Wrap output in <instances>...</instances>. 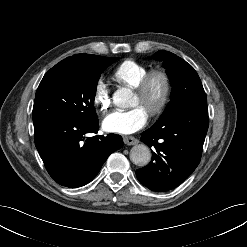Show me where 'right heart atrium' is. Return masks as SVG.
<instances>
[{"label":"right heart atrium","mask_w":247,"mask_h":247,"mask_svg":"<svg viewBox=\"0 0 247 247\" xmlns=\"http://www.w3.org/2000/svg\"><path fill=\"white\" fill-rule=\"evenodd\" d=\"M93 103L100 112H105L111 105L110 89L102 79H99L95 84Z\"/></svg>","instance_id":"d8ad5b80"}]
</instances>
